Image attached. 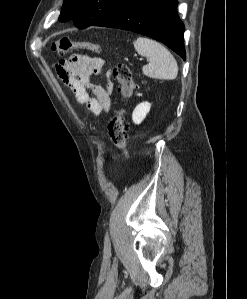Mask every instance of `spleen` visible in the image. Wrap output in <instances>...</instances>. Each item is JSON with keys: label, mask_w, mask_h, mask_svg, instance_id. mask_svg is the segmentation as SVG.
Instances as JSON below:
<instances>
[{"label": "spleen", "mask_w": 247, "mask_h": 299, "mask_svg": "<svg viewBox=\"0 0 247 299\" xmlns=\"http://www.w3.org/2000/svg\"><path fill=\"white\" fill-rule=\"evenodd\" d=\"M139 55L149 62L142 68L143 74L155 79L172 80L177 77L178 65L170 51L157 41L138 37L133 43Z\"/></svg>", "instance_id": "1"}]
</instances>
